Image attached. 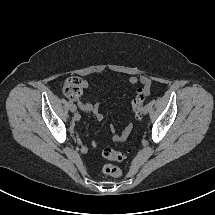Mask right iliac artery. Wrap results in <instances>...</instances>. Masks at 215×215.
I'll return each instance as SVG.
<instances>
[{"mask_svg": "<svg viewBox=\"0 0 215 215\" xmlns=\"http://www.w3.org/2000/svg\"><path fill=\"white\" fill-rule=\"evenodd\" d=\"M69 104H73V101L72 100H69V102H68Z\"/></svg>", "mask_w": 215, "mask_h": 215, "instance_id": "82829eb1", "label": "right iliac artery"}]
</instances>
